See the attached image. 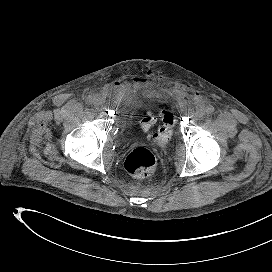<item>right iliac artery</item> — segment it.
Here are the masks:
<instances>
[{"instance_id": "1", "label": "right iliac artery", "mask_w": 272, "mask_h": 272, "mask_svg": "<svg viewBox=\"0 0 272 272\" xmlns=\"http://www.w3.org/2000/svg\"><path fill=\"white\" fill-rule=\"evenodd\" d=\"M85 102H86V104L91 105L92 102H93L92 97H91V96H88V97L86 98Z\"/></svg>"}]
</instances>
